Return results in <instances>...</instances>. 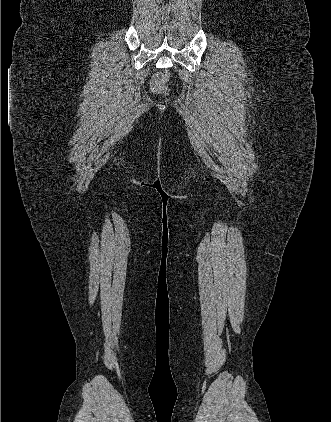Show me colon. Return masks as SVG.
<instances>
[{
    "label": "colon",
    "instance_id": "1",
    "mask_svg": "<svg viewBox=\"0 0 331 422\" xmlns=\"http://www.w3.org/2000/svg\"><path fill=\"white\" fill-rule=\"evenodd\" d=\"M169 75L165 72L157 73L151 80L152 91L157 94H165L168 91L167 82Z\"/></svg>",
    "mask_w": 331,
    "mask_h": 422
}]
</instances>
